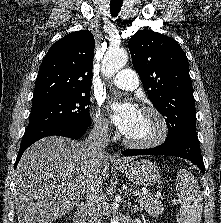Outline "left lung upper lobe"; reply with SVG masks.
Segmentation results:
<instances>
[{
	"mask_svg": "<svg viewBox=\"0 0 221 223\" xmlns=\"http://www.w3.org/2000/svg\"><path fill=\"white\" fill-rule=\"evenodd\" d=\"M128 47L149 99L166 117V141L196 134L192 81L180 45L163 34L140 30L131 37Z\"/></svg>",
	"mask_w": 221,
	"mask_h": 223,
	"instance_id": "1",
	"label": "left lung upper lobe"
}]
</instances>
